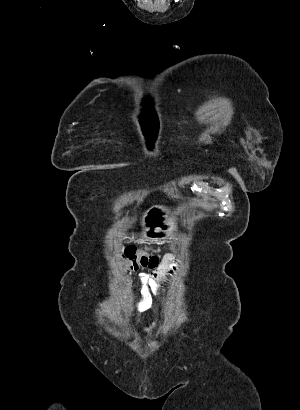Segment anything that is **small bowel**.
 Listing matches in <instances>:
<instances>
[{"instance_id": "small-bowel-1", "label": "small bowel", "mask_w": 300, "mask_h": 410, "mask_svg": "<svg viewBox=\"0 0 300 410\" xmlns=\"http://www.w3.org/2000/svg\"><path fill=\"white\" fill-rule=\"evenodd\" d=\"M179 263L174 256H167L162 264L151 274L146 275L147 290L146 293L158 297L166 285L174 278ZM147 308V302L141 301L133 305L135 312V321L137 322L138 314ZM145 334L151 333V327L143 330Z\"/></svg>"}]
</instances>
